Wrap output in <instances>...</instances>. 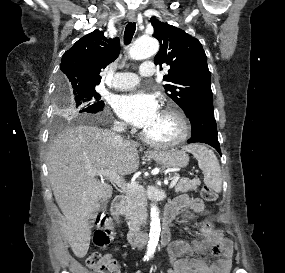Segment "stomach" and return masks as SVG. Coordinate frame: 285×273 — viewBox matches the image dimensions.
<instances>
[{"label": "stomach", "instance_id": "1", "mask_svg": "<svg viewBox=\"0 0 285 273\" xmlns=\"http://www.w3.org/2000/svg\"><path fill=\"white\" fill-rule=\"evenodd\" d=\"M158 164L167 168H183L189 163V156L176 149L154 152L151 155Z\"/></svg>", "mask_w": 285, "mask_h": 273}]
</instances>
